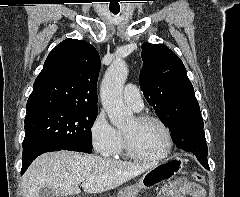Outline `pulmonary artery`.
I'll use <instances>...</instances> for the list:
<instances>
[{
  "label": "pulmonary artery",
  "mask_w": 240,
  "mask_h": 197,
  "mask_svg": "<svg viewBox=\"0 0 240 197\" xmlns=\"http://www.w3.org/2000/svg\"><path fill=\"white\" fill-rule=\"evenodd\" d=\"M124 101L135 111H140L143 106L140 90L133 84H127L123 91Z\"/></svg>",
  "instance_id": "e3ab8cb5"
}]
</instances>
